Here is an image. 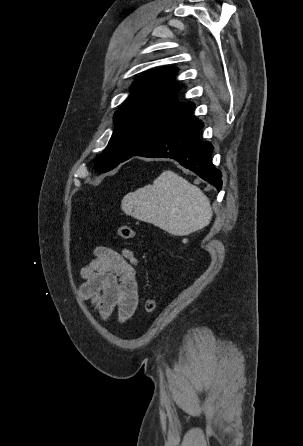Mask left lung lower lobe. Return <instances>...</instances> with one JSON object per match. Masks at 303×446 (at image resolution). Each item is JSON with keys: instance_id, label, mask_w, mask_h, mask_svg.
Instances as JSON below:
<instances>
[{"instance_id": "obj_1", "label": "left lung lower lobe", "mask_w": 303, "mask_h": 446, "mask_svg": "<svg viewBox=\"0 0 303 446\" xmlns=\"http://www.w3.org/2000/svg\"><path fill=\"white\" fill-rule=\"evenodd\" d=\"M192 113L175 131L127 156L121 162L132 156L172 158L220 191L222 175L211 162L214 147L211 143L200 140L199 132L204 124L192 116Z\"/></svg>"}]
</instances>
